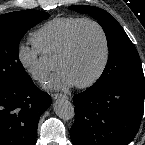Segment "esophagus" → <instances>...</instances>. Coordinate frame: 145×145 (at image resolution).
I'll return each mask as SVG.
<instances>
[{"label": "esophagus", "mask_w": 145, "mask_h": 145, "mask_svg": "<svg viewBox=\"0 0 145 145\" xmlns=\"http://www.w3.org/2000/svg\"><path fill=\"white\" fill-rule=\"evenodd\" d=\"M51 98H52L53 100H56V99H58V98H67V96L64 95V94H61V93H52V94H51Z\"/></svg>", "instance_id": "34e87169"}]
</instances>
